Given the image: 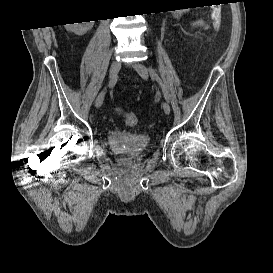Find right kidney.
I'll list each match as a JSON object with an SVG mask.
<instances>
[{"instance_id": "right-kidney-1", "label": "right kidney", "mask_w": 273, "mask_h": 273, "mask_svg": "<svg viewBox=\"0 0 273 273\" xmlns=\"http://www.w3.org/2000/svg\"><path fill=\"white\" fill-rule=\"evenodd\" d=\"M75 25L73 28H71V31H73L76 34H85L88 30H90L93 25H94V21H90V22H83L81 23H75Z\"/></svg>"}]
</instances>
